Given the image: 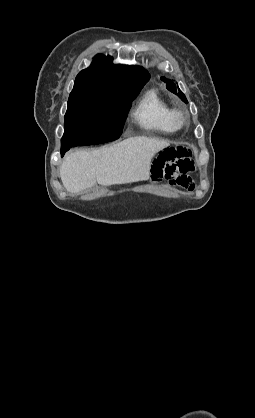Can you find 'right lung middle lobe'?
Returning <instances> with one entry per match:
<instances>
[{"label": "right lung middle lobe", "instance_id": "1", "mask_svg": "<svg viewBox=\"0 0 255 418\" xmlns=\"http://www.w3.org/2000/svg\"><path fill=\"white\" fill-rule=\"evenodd\" d=\"M80 91L71 93L61 146L74 147L118 139L131 102L139 91Z\"/></svg>", "mask_w": 255, "mask_h": 418}]
</instances>
